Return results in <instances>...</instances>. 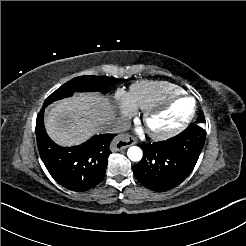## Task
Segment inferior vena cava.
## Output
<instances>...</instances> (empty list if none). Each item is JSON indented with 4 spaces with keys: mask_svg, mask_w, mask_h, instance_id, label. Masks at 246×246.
<instances>
[{
    "mask_svg": "<svg viewBox=\"0 0 246 246\" xmlns=\"http://www.w3.org/2000/svg\"><path fill=\"white\" fill-rule=\"evenodd\" d=\"M121 131L120 121H114L107 126V132L118 133Z\"/></svg>",
    "mask_w": 246,
    "mask_h": 246,
    "instance_id": "obj_1",
    "label": "inferior vena cava"
}]
</instances>
